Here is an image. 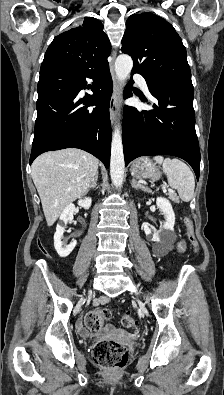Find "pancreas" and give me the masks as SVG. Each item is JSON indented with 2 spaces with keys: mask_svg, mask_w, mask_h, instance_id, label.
<instances>
[{
  "mask_svg": "<svg viewBox=\"0 0 224 395\" xmlns=\"http://www.w3.org/2000/svg\"><path fill=\"white\" fill-rule=\"evenodd\" d=\"M167 195H168V197H169L172 201H174V202H176V203L179 202V199H178V197H177L176 194L168 193Z\"/></svg>",
  "mask_w": 224,
  "mask_h": 395,
  "instance_id": "pancreas-1",
  "label": "pancreas"
}]
</instances>
